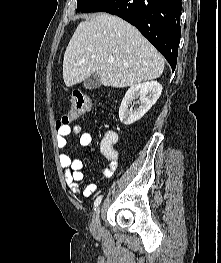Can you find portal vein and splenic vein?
Listing matches in <instances>:
<instances>
[{
	"label": "portal vein and splenic vein",
	"mask_w": 221,
	"mask_h": 263,
	"mask_svg": "<svg viewBox=\"0 0 221 263\" xmlns=\"http://www.w3.org/2000/svg\"><path fill=\"white\" fill-rule=\"evenodd\" d=\"M109 63H113V60H112V59H110V60H109Z\"/></svg>",
	"instance_id": "18ae733b"
}]
</instances>
